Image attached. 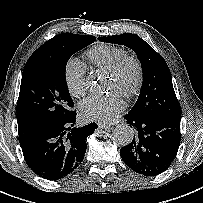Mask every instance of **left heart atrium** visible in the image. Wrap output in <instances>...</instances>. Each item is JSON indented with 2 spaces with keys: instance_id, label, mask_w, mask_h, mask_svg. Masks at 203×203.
<instances>
[{
  "instance_id": "obj_1",
  "label": "left heart atrium",
  "mask_w": 203,
  "mask_h": 203,
  "mask_svg": "<svg viewBox=\"0 0 203 203\" xmlns=\"http://www.w3.org/2000/svg\"><path fill=\"white\" fill-rule=\"evenodd\" d=\"M124 109L117 98L90 96L79 105L80 117L85 121L110 122Z\"/></svg>"
}]
</instances>
